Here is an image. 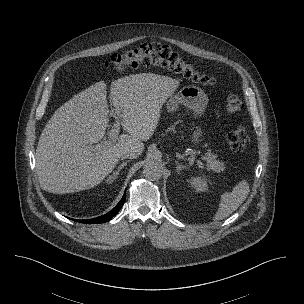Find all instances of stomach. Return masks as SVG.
<instances>
[{"mask_svg": "<svg viewBox=\"0 0 304 304\" xmlns=\"http://www.w3.org/2000/svg\"><path fill=\"white\" fill-rule=\"evenodd\" d=\"M208 103V97L205 92L196 86H184L175 95L171 96L166 103L168 112H174L178 106L184 105L197 114L204 112ZM201 131L198 129L193 133L192 141L199 142Z\"/></svg>", "mask_w": 304, "mask_h": 304, "instance_id": "0dacf381", "label": "stomach"}]
</instances>
